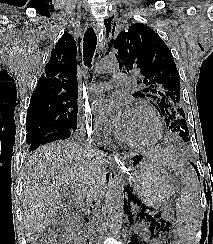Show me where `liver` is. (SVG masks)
<instances>
[{
  "instance_id": "1",
  "label": "liver",
  "mask_w": 213,
  "mask_h": 244,
  "mask_svg": "<svg viewBox=\"0 0 213 244\" xmlns=\"http://www.w3.org/2000/svg\"><path fill=\"white\" fill-rule=\"evenodd\" d=\"M138 152L124 155L130 158ZM166 162L168 156L147 153ZM110 157L98 150L71 141H56L37 149L23 174V224L26 237L51 224L61 209V193L70 188L82 199L97 201L106 192L107 164Z\"/></svg>"
}]
</instances>
